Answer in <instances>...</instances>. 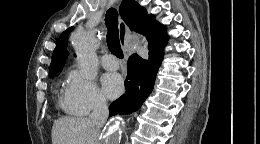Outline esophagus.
<instances>
[{
    "instance_id": "obj_1",
    "label": "esophagus",
    "mask_w": 260,
    "mask_h": 144,
    "mask_svg": "<svg viewBox=\"0 0 260 144\" xmlns=\"http://www.w3.org/2000/svg\"><path fill=\"white\" fill-rule=\"evenodd\" d=\"M128 33V27L122 19H119V39L125 44V38Z\"/></svg>"
}]
</instances>
